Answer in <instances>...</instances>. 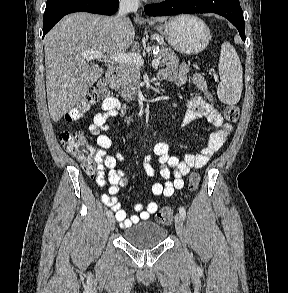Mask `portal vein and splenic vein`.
Returning a JSON list of instances; mask_svg holds the SVG:
<instances>
[{
    "label": "portal vein and splenic vein",
    "instance_id": "1",
    "mask_svg": "<svg viewBox=\"0 0 288 293\" xmlns=\"http://www.w3.org/2000/svg\"><path fill=\"white\" fill-rule=\"evenodd\" d=\"M82 57H84L86 60H94V59H104L107 58L111 61H115L118 63H124V62H132L139 66L144 65V60L142 56L139 53L131 52V53H117L110 56H105L101 51H91V52H83ZM160 61L159 59H154L152 61V66L158 67Z\"/></svg>",
    "mask_w": 288,
    "mask_h": 293
}]
</instances>
